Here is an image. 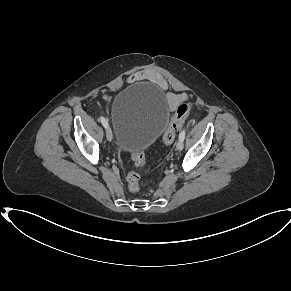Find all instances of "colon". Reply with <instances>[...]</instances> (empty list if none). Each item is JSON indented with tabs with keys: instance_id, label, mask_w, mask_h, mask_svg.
I'll use <instances>...</instances> for the list:
<instances>
[{
	"instance_id": "colon-1",
	"label": "colon",
	"mask_w": 291,
	"mask_h": 291,
	"mask_svg": "<svg viewBox=\"0 0 291 291\" xmlns=\"http://www.w3.org/2000/svg\"><path fill=\"white\" fill-rule=\"evenodd\" d=\"M189 107L186 104H181L178 106L175 114L173 115L167 129L163 135V142L165 145H171L174 140L176 133L183 126L186 119L189 116ZM132 159L135 162L136 166L139 168H144L146 166V159L143 153L134 152L132 154ZM140 176L135 171H130L127 175V182L129 190L132 192H137L140 189Z\"/></svg>"
}]
</instances>
